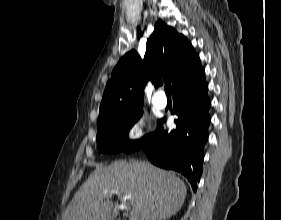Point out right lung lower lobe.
<instances>
[{"mask_svg":"<svg viewBox=\"0 0 281 220\" xmlns=\"http://www.w3.org/2000/svg\"><path fill=\"white\" fill-rule=\"evenodd\" d=\"M205 78L173 92L176 130L163 129L165 118L157 130L141 146L151 162L165 169L181 172L194 191L202 174L204 144L208 139L210 101Z\"/></svg>","mask_w":281,"mask_h":220,"instance_id":"right-lung-lower-lobe-1","label":"right lung lower lobe"}]
</instances>
